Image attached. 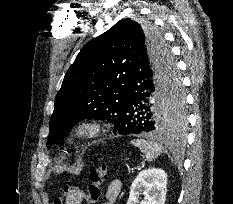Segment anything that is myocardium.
Wrapping results in <instances>:
<instances>
[{
  "mask_svg": "<svg viewBox=\"0 0 233 204\" xmlns=\"http://www.w3.org/2000/svg\"><path fill=\"white\" fill-rule=\"evenodd\" d=\"M103 129V125L98 120H87L77 123L73 128V135L78 139H92L97 137Z\"/></svg>",
  "mask_w": 233,
  "mask_h": 204,
  "instance_id": "f54148a6",
  "label": "myocardium"
}]
</instances>
